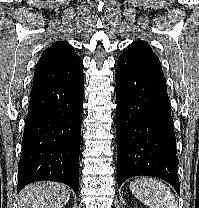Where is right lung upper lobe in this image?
<instances>
[{
	"instance_id": "right-lung-upper-lobe-1",
	"label": "right lung upper lobe",
	"mask_w": 199,
	"mask_h": 208,
	"mask_svg": "<svg viewBox=\"0 0 199 208\" xmlns=\"http://www.w3.org/2000/svg\"><path fill=\"white\" fill-rule=\"evenodd\" d=\"M82 74V61L73 47L65 41H59L41 55L34 74L33 89L68 82Z\"/></svg>"
}]
</instances>
